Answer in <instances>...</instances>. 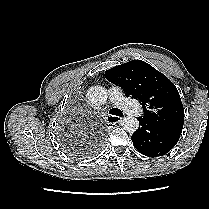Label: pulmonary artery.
<instances>
[{"label": "pulmonary artery", "mask_w": 209, "mask_h": 209, "mask_svg": "<svg viewBox=\"0 0 209 209\" xmlns=\"http://www.w3.org/2000/svg\"><path fill=\"white\" fill-rule=\"evenodd\" d=\"M108 93L110 101L124 112L134 116H139L141 114L140 107L126 98L118 87L110 88Z\"/></svg>", "instance_id": "obj_1"}]
</instances>
